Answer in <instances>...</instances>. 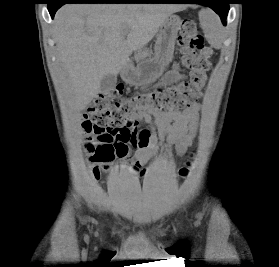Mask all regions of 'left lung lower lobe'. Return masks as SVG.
I'll use <instances>...</instances> for the list:
<instances>
[{
	"mask_svg": "<svg viewBox=\"0 0 279 267\" xmlns=\"http://www.w3.org/2000/svg\"><path fill=\"white\" fill-rule=\"evenodd\" d=\"M158 3H196L204 4L212 8L221 18V21L226 25V17L229 11L230 0H160Z\"/></svg>",
	"mask_w": 279,
	"mask_h": 267,
	"instance_id": "obj_1",
	"label": "left lung lower lobe"
}]
</instances>
